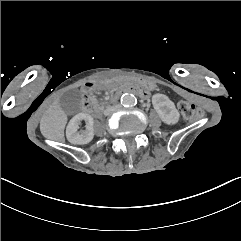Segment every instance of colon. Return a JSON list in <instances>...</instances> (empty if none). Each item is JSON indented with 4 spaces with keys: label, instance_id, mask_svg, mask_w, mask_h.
<instances>
[{
    "label": "colon",
    "instance_id": "colon-1",
    "mask_svg": "<svg viewBox=\"0 0 241 241\" xmlns=\"http://www.w3.org/2000/svg\"><path fill=\"white\" fill-rule=\"evenodd\" d=\"M178 107L182 115L189 120L200 118L203 115L202 108L196 107L189 102H180Z\"/></svg>",
    "mask_w": 241,
    "mask_h": 241
}]
</instances>
